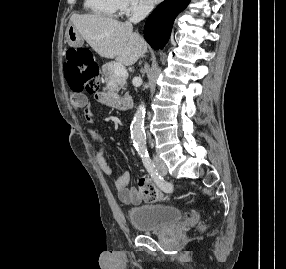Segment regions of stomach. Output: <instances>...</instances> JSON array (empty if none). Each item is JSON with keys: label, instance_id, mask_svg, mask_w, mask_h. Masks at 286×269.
<instances>
[{"label": "stomach", "instance_id": "1", "mask_svg": "<svg viewBox=\"0 0 286 269\" xmlns=\"http://www.w3.org/2000/svg\"><path fill=\"white\" fill-rule=\"evenodd\" d=\"M65 39L70 46H80L83 44V37L72 25L67 27Z\"/></svg>", "mask_w": 286, "mask_h": 269}]
</instances>
